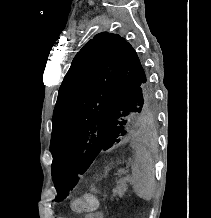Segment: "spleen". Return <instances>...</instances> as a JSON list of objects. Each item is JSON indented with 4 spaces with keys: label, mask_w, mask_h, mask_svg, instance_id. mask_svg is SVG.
I'll use <instances>...</instances> for the list:
<instances>
[{
    "label": "spleen",
    "mask_w": 211,
    "mask_h": 218,
    "mask_svg": "<svg viewBox=\"0 0 211 218\" xmlns=\"http://www.w3.org/2000/svg\"><path fill=\"white\" fill-rule=\"evenodd\" d=\"M133 188L136 196L151 200L155 192L154 168L147 152L137 150L135 162L131 166Z\"/></svg>",
    "instance_id": "1"
}]
</instances>
